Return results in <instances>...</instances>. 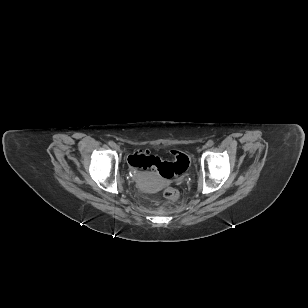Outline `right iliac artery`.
I'll return each mask as SVG.
<instances>
[{
  "label": "right iliac artery",
  "mask_w": 308,
  "mask_h": 308,
  "mask_svg": "<svg viewBox=\"0 0 308 308\" xmlns=\"http://www.w3.org/2000/svg\"><path fill=\"white\" fill-rule=\"evenodd\" d=\"M111 147H113L115 145V143L113 141H109L108 143Z\"/></svg>",
  "instance_id": "right-iliac-artery-1"
}]
</instances>
